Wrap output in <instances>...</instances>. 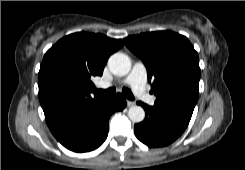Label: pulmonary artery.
Instances as JSON below:
<instances>
[{
  "label": "pulmonary artery",
  "instance_id": "e3ab8cb5",
  "mask_svg": "<svg viewBox=\"0 0 245 170\" xmlns=\"http://www.w3.org/2000/svg\"><path fill=\"white\" fill-rule=\"evenodd\" d=\"M146 80H147V69L142 63H135L130 74L124 79L123 83H128L133 92L140 97L142 100L146 101L148 104L153 105L156 97L148 94L146 89ZM111 83H102V88H108Z\"/></svg>",
  "mask_w": 245,
  "mask_h": 170
}]
</instances>
